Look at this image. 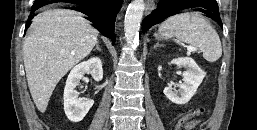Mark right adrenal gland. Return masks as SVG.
<instances>
[{
  "label": "right adrenal gland",
  "mask_w": 257,
  "mask_h": 130,
  "mask_svg": "<svg viewBox=\"0 0 257 130\" xmlns=\"http://www.w3.org/2000/svg\"><path fill=\"white\" fill-rule=\"evenodd\" d=\"M95 50H98L99 52H101V49H100V47H99L98 42H97V44H96V48L94 49V51H95Z\"/></svg>",
  "instance_id": "1"
}]
</instances>
